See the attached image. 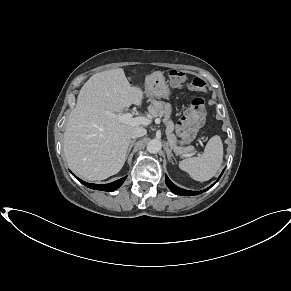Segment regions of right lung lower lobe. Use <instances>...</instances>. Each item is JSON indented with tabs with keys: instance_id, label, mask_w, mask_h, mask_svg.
Masks as SVG:
<instances>
[{
	"instance_id": "1",
	"label": "right lung lower lobe",
	"mask_w": 291,
	"mask_h": 291,
	"mask_svg": "<svg viewBox=\"0 0 291 291\" xmlns=\"http://www.w3.org/2000/svg\"><path fill=\"white\" fill-rule=\"evenodd\" d=\"M75 176V175H74ZM75 178H77L75 176ZM82 184H84L86 187L91 188V189H96V190H102V191H114L117 188H119L123 182L125 181L126 177H123L119 180H116L112 183L109 184H92V183H87L82 181L81 179L77 178Z\"/></svg>"
}]
</instances>
